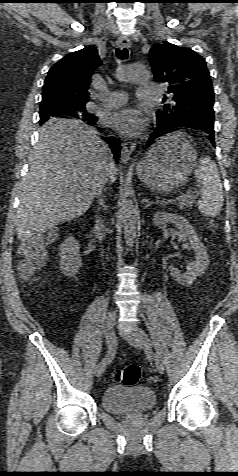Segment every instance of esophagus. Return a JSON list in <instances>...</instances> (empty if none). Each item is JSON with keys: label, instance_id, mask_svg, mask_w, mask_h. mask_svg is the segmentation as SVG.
<instances>
[{"label": "esophagus", "instance_id": "1", "mask_svg": "<svg viewBox=\"0 0 238 476\" xmlns=\"http://www.w3.org/2000/svg\"><path fill=\"white\" fill-rule=\"evenodd\" d=\"M117 47L120 49L123 48H130L131 47V42L128 37L126 36H120L117 40ZM135 149V144L134 143H128L124 142L122 143V149H121V161L123 163H127L130 160V156L132 152Z\"/></svg>", "mask_w": 238, "mask_h": 476}]
</instances>
